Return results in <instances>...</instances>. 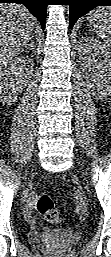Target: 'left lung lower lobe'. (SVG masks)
Returning <instances> with one entry per match:
<instances>
[{
    "label": "left lung lower lobe",
    "instance_id": "left-lung-lower-lobe-1",
    "mask_svg": "<svg viewBox=\"0 0 111 257\" xmlns=\"http://www.w3.org/2000/svg\"><path fill=\"white\" fill-rule=\"evenodd\" d=\"M97 6H111V0H70V26Z\"/></svg>",
    "mask_w": 111,
    "mask_h": 257
}]
</instances>
